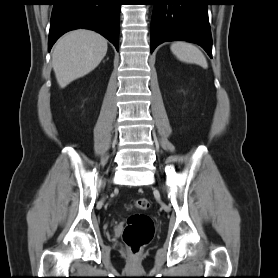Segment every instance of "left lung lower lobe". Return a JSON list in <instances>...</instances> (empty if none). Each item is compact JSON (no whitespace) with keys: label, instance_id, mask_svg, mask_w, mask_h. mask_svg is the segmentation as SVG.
I'll return each mask as SVG.
<instances>
[{"label":"left lung lower lobe","instance_id":"0a47b994","mask_svg":"<svg viewBox=\"0 0 278 278\" xmlns=\"http://www.w3.org/2000/svg\"><path fill=\"white\" fill-rule=\"evenodd\" d=\"M151 53L166 41H189L203 47L212 58L208 20L209 0H152Z\"/></svg>","mask_w":278,"mask_h":278}]
</instances>
